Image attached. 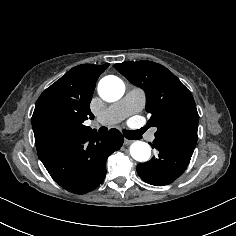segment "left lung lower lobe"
Masks as SVG:
<instances>
[{"label":"left lung lower lobe","mask_w":236,"mask_h":236,"mask_svg":"<svg viewBox=\"0 0 236 236\" xmlns=\"http://www.w3.org/2000/svg\"><path fill=\"white\" fill-rule=\"evenodd\" d=\"M150 145L158 151V155L146 163L138 164L137 172L145 182L156 186L168 185L181 176L195 148L156 137Z\"/></svg>","instance_id":"obj_1"}]
</instances>
